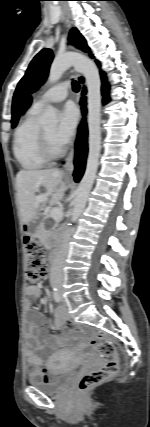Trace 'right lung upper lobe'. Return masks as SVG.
Wrapping results in <instances>:
<instances>
[{
  "mask_svg": "<svg viewBox=\"0 0 150 427\" xmlns=\"http://www.w3.org/2000/svg\"><path fill=\"white\" fill-rule=\"evenodd\" d=\"M30 104H31V97H28L25 101L22 113H24V111L30 106Z\"/></svg>",
  "mask_w": 150,
  "mask_h": 427,
  "instance_id": "1",
  "label": "right lung upper lobe"
}]
</instances>
